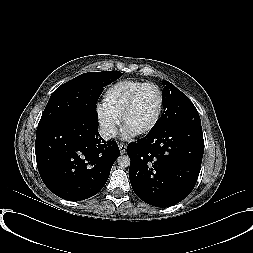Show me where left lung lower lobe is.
Masks as SVG:
<instances>
[{
	"label": "left lung lower lobe",
	"mask_w": 253,
	"mask_h": 253,
	"mask_svg": "<svg viewBox=\"0 0 253 253\" xmlns=\"http://www.w3.org/2000/svg\"><path fill=\"white\" fill-rule=\"evenodd\" d=\"M203 151L202 127L192 124L149 132L130 143L129 178L135 194L156 207L182 201L196 184Z\"/></svg>",
	"instance_id": "obj_1"
}]
</instances>
